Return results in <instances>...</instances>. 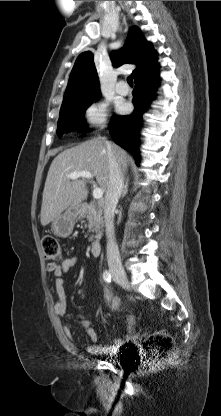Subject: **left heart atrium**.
I'll list each match as a JSON object with an SVG mask.
<instances>
[{
    "instance_id": "left-heart-atrium-1",
    "label": "left heart atrium",
    "mask_w": 221,
    "mask_h": 416,
    "mask_svg": "<svg viewBox=\"0 0 221 416\" xmlns=\"http://www.w3.org/2000/svg\"><path fill=\"white\" fill-rule=\"evenodd\" d=\"M121 110H122V111H125V110H126V108H125V107H122V108H121Z\"/></svg>"
}]
</instances>
